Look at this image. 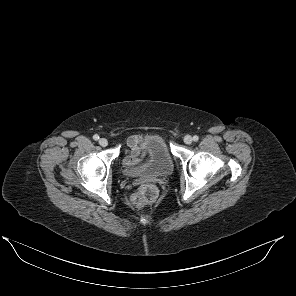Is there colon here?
<instances>
[{
	"label": "colon",
	"instance_id": "5ec220e1",
	"mask_svg": "<svg viewBox=\"0 0 296 296\" xmlns=\"http://www.w3.org/2000/svg\"><path fill=\"white\" fill-rule=\"evenodd\" d=\"M158 196V189L153 184L142 185L132 196L131 202L137 207L153 203Z\"/></svg>",
	"mask_w": 296,
	"mask_h": 296
}]
</instances>
